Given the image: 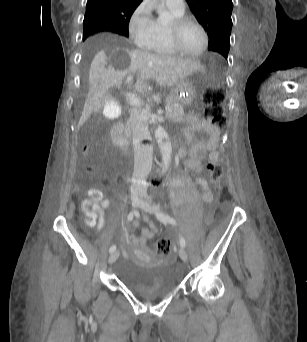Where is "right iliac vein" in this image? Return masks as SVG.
I'll list each match as a JSON object with an SVG mask.
<instances>
[{"label": "right iliac vein", "instance_id": "obj_1", "mask_svg": "<svg viewBox=\"0 0 307 342\" xmlns=\"http://www.w3.org/2000/svg\"><path fill=\"white\" fill-rule=\"evenodd\" d=\"M141 202H142V199L140 197L132 196V206L134 208L139 206ZM119 254H120L119 251L112 252L109 256L108 263L112 264L113 262H115L117 260V258L119 257Z\"/></svg>", "mask_w": 307, "mask_h": 342}]
</instances>
